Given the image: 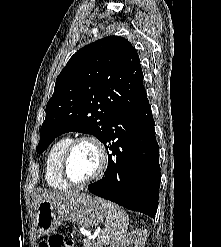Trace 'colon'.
Wrapping results in <instances>:
<instances>
[{
    "label": "colon",
    "instance_id": "obj_1",
    "mask_svg": "<svg viewBox=\"0 0 221 247\" xmlns=\"http://www.w3.org/2000/svg\"><path fill=\"white\" fill-rule=\"evenodd\" d=\"M73 241L66 240L64 237L55 235L40 242L39 247H72Z\"/></svg>",
    "mask_w": 221,
    "mask_h": 247
}]
</instances>
